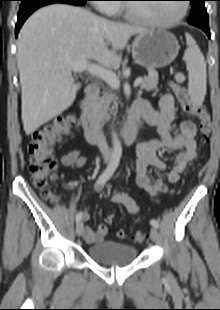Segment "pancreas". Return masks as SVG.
Returning a JSON list of instances; mask_svg holds the SVG:
<instances>
[{"label":"pancreas","mask_w":220,"mask_h":310,"mask_svg":"<svg viewBox=\"0 0 220 310\" xmlns=\"http://www.w3.org/2000/svg\"><path fill=\"white\" fill-rule=\"evenodd\" d=\"M158 73L154 69H149V75L144 77L141 83V89H145L146 91L154 90L158 92ZM115 94L111 91H106L102 97L98 98L94 105V114L100 118L101 120L109 118L107 114L109 105L112 101H114L115 106H117Z\"/></svg>","instance_id":"cf45deb5"}]
</instances>
